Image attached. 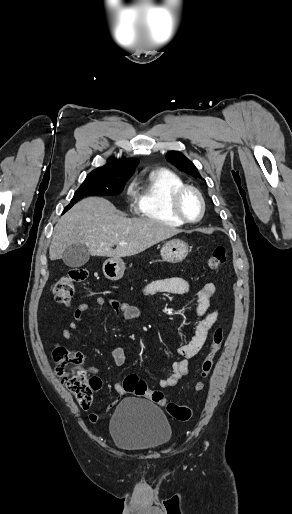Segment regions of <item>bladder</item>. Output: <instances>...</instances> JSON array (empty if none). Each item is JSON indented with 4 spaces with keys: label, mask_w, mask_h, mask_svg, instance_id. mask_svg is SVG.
I'll use <instances>...</instances> for the list:
<instances>
[{
    "label": "bladder",
    "mask_w": 292,
    "mask_h": 514,
    "mask_svg": "<svg viewBox=\"0 0 292 514\" xmlns=\"http://www.w3.org/2000/svg\"><path fill=\"white\" fill-rule=\"evenodd\" d=\"M110 432L116 446L125 451H153L167 444L173 435L164 412L154 403L127 398L115 409Z\"/></svg>",
    "instance_id": "1"
}]
</instances>
